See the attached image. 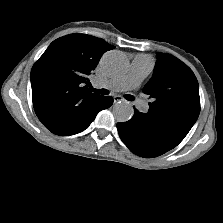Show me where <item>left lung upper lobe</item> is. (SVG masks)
I'll return each instance as SVG.
<instances>
[{
  "mask_svg": "<svg viewBox=\"0 0 223 223\" xmlns=\"http://www.w3.org/2000/svg\"><path fill=\"white\" fill-rule=\"evenodd\" d=\"M143 92L156 100L147 115L137 111L139 118L150 128L182 141L200 113L198 82L193 72L173 56L161 55Z\"/></svg>",
  "mask_w": 223,
  "mask_h": 223,
  "instance_id": "obj_1",
  "label": "left lung upper lobe"
}]
</instances>
